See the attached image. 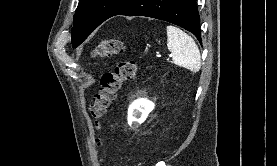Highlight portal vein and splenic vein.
Here are the masks:
<instances>
[{
  "label": "portal vein and splenic vein",
  "instance_id": "18ae733b",
  "mask_svg": "<svg viewBox=\"0 0 277 166\" xmlns=\"http://www.w3.org/2000/svg\"><path fill=\"white\" fill-rule=\"evenodd\" d=\"M157 57H161V55H157Z\"/></svg>",
  "mask_w": 277,
  "mask_h": 166
}]
</instances>
